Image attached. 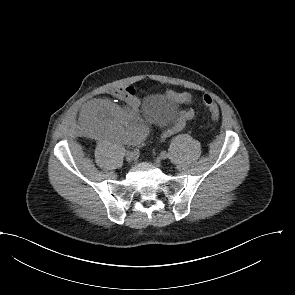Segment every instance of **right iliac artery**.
<instances>
[{
    "label": "right iliac artery",
    "instance_id": "1",
    "mask_svg": "<svg viewBox=\"0 0 295 295\" xmlns=\"http://www.w3.org/2000/svg\"><path fill=\"white\" fill-rule=\"evenodd\" d=\"M133 153H134L135 155H140V154H141V149H140V148H135V149L133 150Z\"/></svg>",
    "mask_w": 295,
    "mask_h": 295
}]
</instances>
